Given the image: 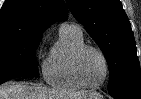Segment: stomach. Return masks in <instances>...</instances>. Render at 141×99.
I'll return each instance as SVG.
<instances>
[{
  "instance_id": "obj_1",
  "label": "stomach",
  "mask_w": 141,
  "mask_h": 99,
  "mask_svg": "<svg viewBox=\"0 0 141 99\" xmlns=\"http://www.w3.org/2000/svg\"><path fill=\"white\" fill-rule=\"evenodd\" d=\"M87 99H100L97 95H91Z\"/></svg>"
}]
</instances>
